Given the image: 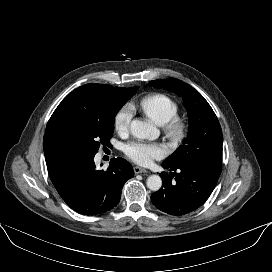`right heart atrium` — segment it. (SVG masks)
I'll return each instance as SVG.
<instances>
[{
	"label": "right heart atrium",
	"mask_w": 272,
	"mask_h": 272,
	"mask_svg": "<svg viewBox=\"0 0 272 272\" xmlns=\"http://www.w3.org/2000/svg\"><path fill=\"white\" fill-rule=\"evenodd\" d=\"M132 112L129 107H124L118 111L114 119L115 130L120 135H125L129 131Z\"/></svg>",
	"instance_id": "d8ad5b80"
}]
</instances>
